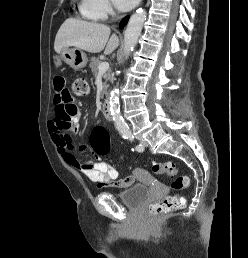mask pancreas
Wrapping results in <instances>:
<instances>
[{
	"label": "pancreas",
	"mask_w": 248,
	"mask_h": 258,
	"mask_svg": "<svg viewBox=\"0 0 248 258\" xmlns=\"http://www.w3.org/2000/svg\"><path fill=\"white\" fill-rule=\"evenodd\" d=\"M100 63H101L100 59H98V58H96V57H92V58L90 59V64H89V66H90V68H91V70H92L93 75H95V76H96V75L98 74V72H99L98 66H99ZM103 78L106 80V82L104 83V88H103V91H102L101 95H104V94L106 93L107 88H108L107 81H109L110 78H111L110 71L105 72V73L103 74Z\"/></svg>",
	"instance_id": "cf45deb5"
}]
</instances>
